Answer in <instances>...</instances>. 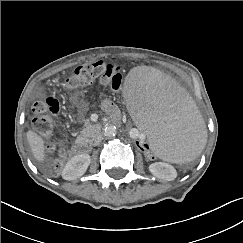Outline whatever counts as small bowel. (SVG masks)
Here are the masks:
<instances>
[{
	"label": "small bowel",
	"mask_w": 243,
	"mask_h": 243,
	"mask_svg": "<svg viewBox=\"0 0 243 243\" xmlns=\"http://www.w3.org/2000/svg\"><path fill=\"white\" fill-rule=\"evenodd\" d=\"M103 109L111 114H115L116 106L111 99L105 98L102 103Z\"/></svg>",
	"instance_id": "small-bowel-1"
}]
</instances>
